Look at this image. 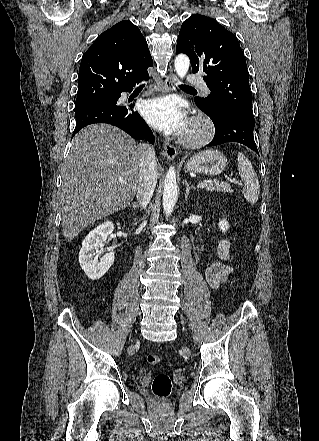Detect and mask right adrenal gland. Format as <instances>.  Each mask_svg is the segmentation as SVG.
Here are the masks:
<instances>
[{
	"label": "right adrenal gland",
	"instance_id": "1",
	"mask_svg": "<svg viewBox=\"0 0 319 441\" xmlns=\"http://www.w3.org/2000/svg\"><path fill=\"white\" fill-rule=\"evenodd\" d=\"M132 207H133L134 209H137V208H139V204H137V203H132Z\"/></svg>",
	"mask_w": 319,
	"mask_h": 441
}]
</instances>
